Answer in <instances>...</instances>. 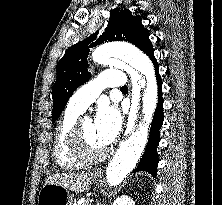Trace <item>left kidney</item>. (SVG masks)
Returning <instances> with one entry per match:
<instances>
[{"label": "left kidney", "instance_id": "1", "mask_svg": "<svg viewBox=\"0 0 222 205\" xmlns=\"http://www.w3.org/2000/svg\"><path fill=\"white\" fill-rule=\"evenodd\" d=\"M112 205H135V202L127 195L118 197Z\"/></svg>", "mask_w": 222, "mask_h": 205}]
</instances>
